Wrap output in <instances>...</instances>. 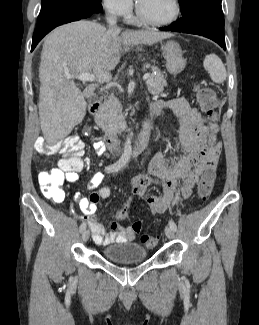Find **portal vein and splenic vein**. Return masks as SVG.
<instances>
[{"mask_svg":"<svg viewBox=\"0 0 259 325\" xmlns=\"http://www.w3.org/2000/svg\"><path fill=\"white\" fill-rule=\"evenodd\" d=\"M149 77H150V74L146 73L143 76V80H147ZM67 78L68 79L75 78V79H78L80 81H95V79H96V77L91 73H82V74L77 75V76L69 75Z\"/></svg>","mask_w":259,"mask_h":325,"instance_id":"18ae733b","label":"portal vein and splenic vein"}]
</instances>
